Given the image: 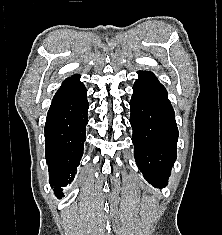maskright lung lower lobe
Wrapping results in <instances>:
<instances>
[{
  "instance_id": "98d812e1",
  "label": "right lung lower lobe",
  "mask_w": 222,
  "mask_h": 235,
  "mask_svg": "<svg viewBox=\"0 0 222 235\" xmlns=\"http://www.w3.org/2000/svg\"><path fill=\"white\" fill-rule=\"evenodd\" d=\"M87 90L80 75H73L62 83L55 94L45 124L46 161L50 183L58 198L60 189L70 183L83 155L88 123Z\"/></svg>"
}]
</instances>
